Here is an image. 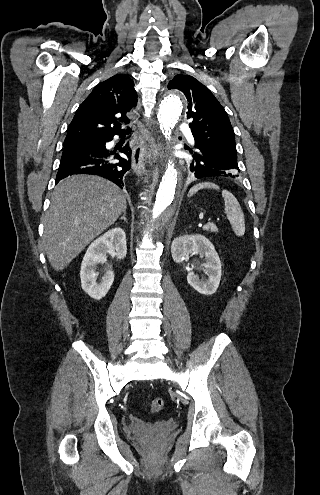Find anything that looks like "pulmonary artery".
Wrapping results in <instances>:
<instances>
[{
	"label": "pulmonary artery",
	"instance_id": "pulmonary-artery-1",
	"mask_svg": "<svg viewBox=\"0 0 320 495\" xmlns=\"http://www.w3.org/2000/svg\"><path fill=\"white\" fill-rule=\"evenodd\" d=\"M187 138H188V140H189L191 143H193V142H194V138H193V136H192L191 134H189V135L187 136Z\"/></svg>",
	"mask_w": 320,
	"mask_h": 495
}]
</instances>
